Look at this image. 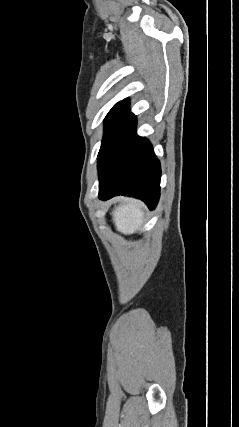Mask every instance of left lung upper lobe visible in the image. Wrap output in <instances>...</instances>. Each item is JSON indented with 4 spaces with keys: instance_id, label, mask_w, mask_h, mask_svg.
Returning <instances> with one entry per match:
<instances>
[{
    "instance_id": "1",
    "label": "left lung upper lobe",
    "mask_w": 239,
    "mask_h": 427,
    "mask_svg": "<svg viewBox=\"0 0 239 427\" xmlns=\"http://www.w3.org/2000/svg\"><path fill=\"white\" fill-rule=\"evenodd\" d=\"M133 117L134 115L129 111L128 99H124L113 106L105 118V134L98 156L113 136Z\"/></svg>"
}]
</instances>
